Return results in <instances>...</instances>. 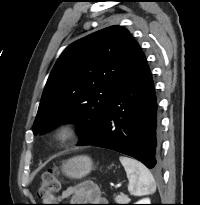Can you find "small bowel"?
<instances>
[{"label":"small bowel","instance_id":"small-bowel-1","mask_svg":"<svg viewBox=\"0 0 200 205\" xmlns=\"http://www.w3.org/2000/svg\"><path fill=\"white\" fill-rule=\"evenodd\" d=\"M72 198L74 201H85L88 203H101L104 202L99 189L91 181H85L75 186L66 188L58 198H47L46 202L55 200H63ZM88 205H103V204H88Z\"/></svg>","mask_w":200,"mask_h":205}]
</instances>
